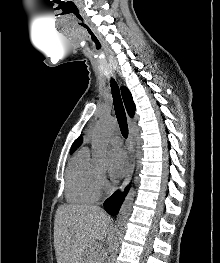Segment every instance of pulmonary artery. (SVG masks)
Returning a JSON list of instances; mask_svg holds the SVG:
<instances>
[{"instance_id":"e3ab8cb5","label":"pulmonary artery","mask_w":220,"mask_h":263,"mask_svg":"<svg viewBox=\"0 0 220 263\" xmlns=\"http://www.w3.org/2000/svg\"><path fill=\"white\" fill-rule=\"evenodd\" d=\"M109 143L114 147H119L122 145V140L119 136H114L109 140Z\"/></svg>"}]
</instances>
